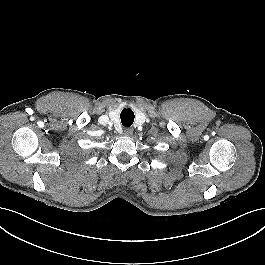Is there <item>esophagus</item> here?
<instances>
[{"label":"esophagus","instance_id":"34e87169","mask_svg":"<svg viewBox=\"0 0 265 265\" xmlns=\"http://www.w3.org/2000/svg\"><path fill=\"white\" fill-rule=\"evenodd\" d=\"M133 134V129L132 128H125L124 129V135L127 137H131Z\"/></svg>","mask_w":265,"mask_h":265}]
</instances>
